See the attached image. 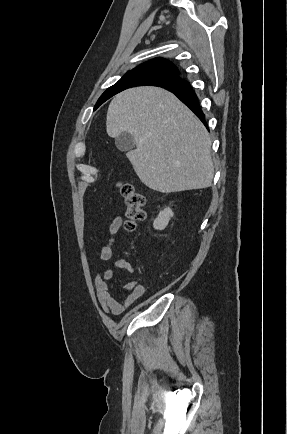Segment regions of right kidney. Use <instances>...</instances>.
Masks as SVG:
<instances>
[{
  "label": "right kidney",
  "mask_w": 287,
  "mask_h": 434,
  "mask_svg": "<svg viewBox=\"0 0 287 434\" xmlns=\"http://www.w3.org/2000/svg\"><path fill=\"white\" fill-rule=\"evenodd\" d=\"M174 213L171 208L167 207L164 210L160 211L158 217L154 220L153 227L156 230H163L169 223L171 217H173Z\"/></svg>",
  "instance_id": "obj_1"
}]
</instances>
